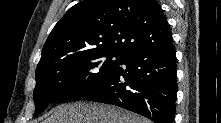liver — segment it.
<instances>
[{
    "mask_svg": "<svg viewBox=\"0 0 221 123\" xmlns=\"http://www.w3.org/2000/svg\"><path fill=\"white\" fill-rule=\"evenodd\" d=\"M42 123H149V121L115 106L75 102L57 106Z\"/></svg>",
    "mask_w": 221,
    "mask_h": 123,
    "instance_id": "1",
    "label": "liver"
}]
</instances>
